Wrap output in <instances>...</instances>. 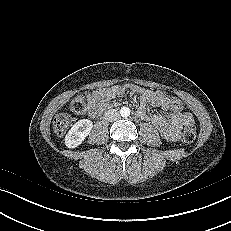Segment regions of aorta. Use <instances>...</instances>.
I'll return each instance as SVG.
<instances>
[{"label":"aorta","instance_id":"762f6f07","mask_svg":"<svg viewBox=\"0 0 231 231\" xmlns=\"http://www.w3.org/2000/svg\"><path fill=\"white\" fill-rule=\"evenodd\" d=\"M120 114L122 117H128L130 115V109L128 107H122Z\"/></svg>","mask_w":231,"mask_h":231}]
</instances>
